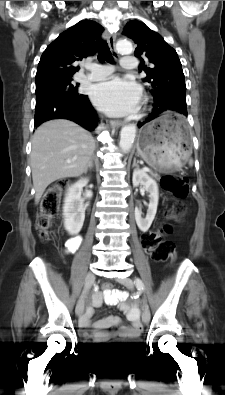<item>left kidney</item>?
<instances>
[{
    "instance_id": "obj_1",
    "label": "left kidney",
    "mask_w": 225,
    "mask_h": 395,
    "mask_svg": "<svg viewBox=\"0 0 225 395\" xmlns=\"http://www.w3.org/2000/svg\"><path fill=\"white\" fill-rule=\"evenodd\" d=\"M132 182L134 187L142 185L144 189L149 192L150 202L145 218L141 217V211L139 208L135 207V220L137 226L141 231L146 232L150 228L157 212L159 199L158 185L154 179L140 169H135L133 171Z\"/></svg>"
}]
</instances>
